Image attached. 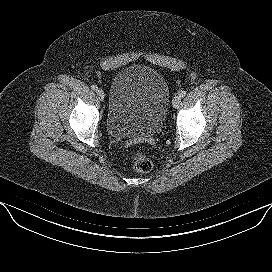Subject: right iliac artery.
Masks as SVG:
<instances>
[{"instance_id":"82829eb1","label":"right iliac artery","mask_w":272,"mask_h":272,"mask_svg":"<svg viewBox=\"0 0 272 272\" xmlns=\"http://www.w3.org/2000/svg\"><path fill=\"white\" fill-rule=\"evenodd\" d=\"M91 89L94 90V91H97V90H98V87H97V85H92V86H91Z\"/></svg>"}]
</instances>
